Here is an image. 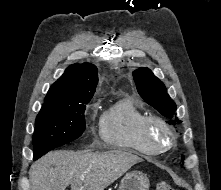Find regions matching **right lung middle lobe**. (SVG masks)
I'll list each match as a JSON object with an SVG mask.
<instances>
[{
  "mask_svg": "<svg viewBox=\"0 0 221 190\" xmlns=\"http://www.w3.org/2000/svg\"><path fill=\"white\" fill-rule=\"evenodd\" d=\"M89 101L68 107L41 108L33 137L34 160L82 135L86 128L84 111Z\"/></svg>",
  "mask_w": 221,
  "mask_h": 190,
  "instance_id": "1",
  "label": "right lung middle lobe"
}]
</instances>
